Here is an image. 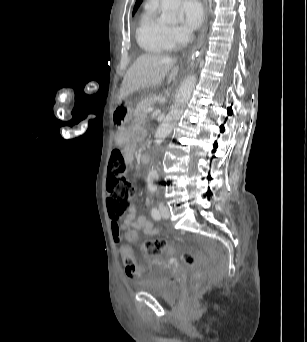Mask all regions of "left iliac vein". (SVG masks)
<instances>
[{
	"mask_svg": "<svg viewBox=\"0 0 307 342\" xmlns=\"http://www.w3.org/2000/svg\"><path fill=\"white\" fill-rule=\"evenodd\" d=\"M159 209H160L161 216H162L163 218L167 219V218L170 217V211H169V209L167 208V206L161 205Z\"/></svg>",
	"mask_w": 307,
	"mask_h": 342,
	"instance_id": "obj_1",
	"label": "left iliac vein"
}]
</instances>
